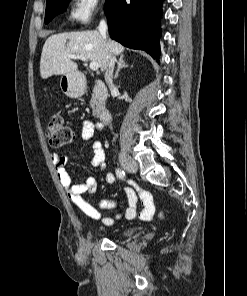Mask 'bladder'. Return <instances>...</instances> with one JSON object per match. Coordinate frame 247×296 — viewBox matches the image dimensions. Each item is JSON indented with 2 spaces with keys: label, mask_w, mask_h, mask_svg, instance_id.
I'll list each match as a JSON object with an SVG mask.
<instances>
[{
  "label": "bladder",
  "mask_w": 247,
  "mask_h": 296,
  "mask_svg": "<svg viewBox=\"0 0 247 296\" xmlns=\"http://www.w3.org/2000/svg\"><path fill=\"white\" fill-rule=\"evenodd\" d=\"M134 231H135V228H126L121 232V235L126 236L133 233Z\"/></svg>",
  "instance_id": "bladder-1"
}]
</instances>
